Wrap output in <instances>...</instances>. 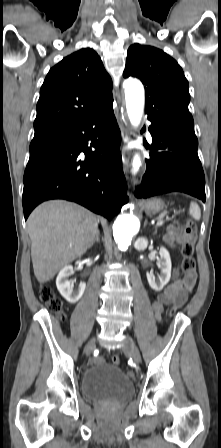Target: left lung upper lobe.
Returning a JSON list of instances; mask_svg holds the SVG:
<instances>
[{"label":"left lung upper lobe","mask_w":221,"mask_h":448,"mask_svg":"<svg viewBox=\"0 0 221 448\" xmlns=\"http://www.w3.org/2000/svg\"><path fill=\"white\" fill-rule=\"evenodd\" d=\"M123 76L137 77L145 85V113L151 122L196 138L188 110V81L173 58L158 48L133 44L128 49Z\"/></svg>","instance_id":"left-lung-upper-lobe-1"}]
</instances>
